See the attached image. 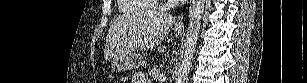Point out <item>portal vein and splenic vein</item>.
<instances>
[{
	"label": "portal vein and splenic vein",
	"instance_id": "portal-vein-and-splenic-vein-1",
	"mask_svg": "<svg viewBox=\"0 0 307 83\" xmlns=\"http://www.w3.org/2000/svg\"><path fill=\"white\" fill-rule=\"evenodd\" d=\"M159 78H161L162 80L166 79L163 75H160Z\"/></svg>",
	"mask_w": 307,
	"mask_h": 83
}]
</instances>
